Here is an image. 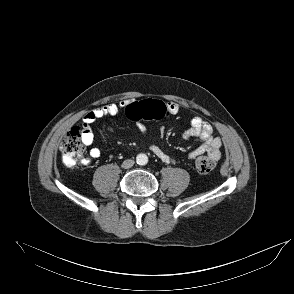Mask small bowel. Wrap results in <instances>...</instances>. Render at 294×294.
<instances>
[{"instance_id": "obj_1", "label": "small bowel", "mask_w": 294, "mask_h": 294, "mask_svg": "<svg viewBox=\"0 0 294 294\" xmlns=\"http://www.w3.org/2000/svg\"><path fill=\"white\" fill-rule=\"evenodd\" d=\"M128 104L129 102H121L120 104H107L88 112L83 118V124L81 128L84 144L88 146L93 142L94 136L91 130V125L95 121L106 116H116L120 110L126 108ZM166 105L171 115H175L179 112V107L176 103L169 102ZM138 128L143 138H146V127L140 124ZM182 136L185 139L196 137L199 141L198 146L188 153V158L195 159L205 153L213 157L215 160L220 158L222 141L219 137L214 136L211 124L204 121L200 117L192 118L190 127L183 132ZM149 149L162 162H175V159L168 155L160 146L156 144H150ZM100 154V150L96 147H93L89 151V156L83 159L82 163L87 165L92 159L99 158Z\"/></svg>"}]
</instances>
